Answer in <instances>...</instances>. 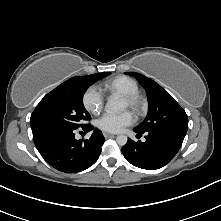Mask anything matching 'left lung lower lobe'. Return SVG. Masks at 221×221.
<instances>
[{"label":"left lung lower lobe","mask_w":221,"mask_h":221,"mask_svg":"<svg viewBox=\"0 0 221 221\" xmlns=\"http://www.w3.org/2000/svg\"><path fill=\"white\" fill-rule=\"evenodd\" d=\"M135 132L138 135L143 134ZM185 134L177 130L150 131L145 133V142H135L129 139L122 148V152L125 159L136 167L147 170L159 169L176 155Z\"/></svg>","instance_id":"0a47b994"}]
</instances>
